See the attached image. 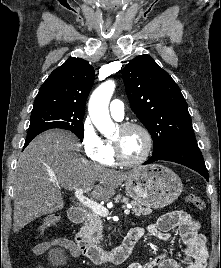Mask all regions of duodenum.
Returning <instances> with one entry per match:
<instances>
[{
  "label": "duodenum",
  "instance_id": "obj_1",
  "mask_svg": "<svg viewBox=\"0 0 221 268\" xmlns=\"http://www.w3.org/2000/svg\"><path fill=\"white\" fill-rule=\"evenodd\" d=\"M87 216L88 213L83 208H73L69 212L70 220L77 224L83 223ZM139 239V233L131 229L119 246L106 250L90 243L78 232L75 235V245L82 256L94 263H112L117 265L124 262L131 255Z\"/></svg>",
  "mask_w": 221,
  "mask_h": 268
}]
</instances>
